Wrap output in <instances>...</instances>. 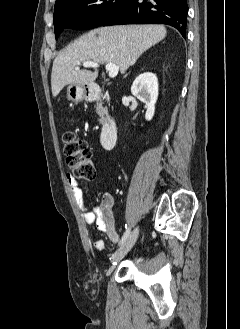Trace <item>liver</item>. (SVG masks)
<instances>
[{"instance_id":"liver-1","label":"liver","mask_w":240,"mask_h":329,"mask_svg":"<svg viewBox=\"0 0 240 329\" xmlns=\"http://www.w3.org/2000/svg\"><path fill=\"white\" fill-rule=\"evenodd\" d=\"M166 34V28L162 25H120L98 28L82 35L55 58L51 73L52 95L56 97L69 84H92L98 71L75 70L86 61L114 63L121 73H125Z\"/></svg>"}]
</instances>
